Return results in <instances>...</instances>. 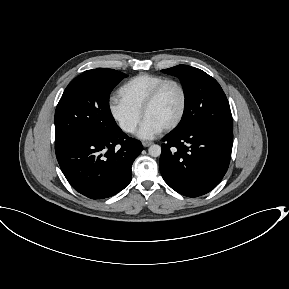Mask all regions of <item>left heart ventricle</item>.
Here are the masks:
<instances>
[{
	"instance_id": "1",
	"label": "left heart ventricle",
	"mask_w": 289,
	"mask_h": 289,
	"mask_svg": "<svg viewBox=\"0 0 289 289\" xmlns=\"http://www.w3.org/2000/svg\"><path fill=\"white\" fill-rule=\"evenodd\" d=\"M181 103L182 96L178 87L168 84L162 89L144 118L152 120L164 128L176 119L181 109Z\"/></svg>"
}]
</instances>
